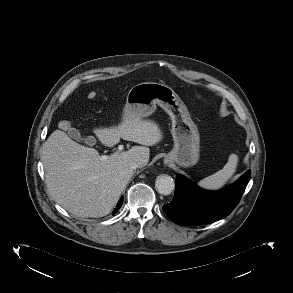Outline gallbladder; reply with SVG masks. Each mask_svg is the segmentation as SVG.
Returning a JSON list of instances; mask_svg holds the SVG:
<instances>
[{"mask_svg":"<svg viewBox=\"0 0 293 293\" xmlns=\"http://www.w3.org/2000/svg\"><path fill=\"white\" fill-rule=\"evenodd\" d=\"M69 136L73 138L76 141H84L86 144L90 145L95 141V138L92 136H89L87 138H82L81 134L79 133L78 130L76 129H70L68 132Z\"/></svg>","mask_w":293,"mask_h":293,"instance_id":"bac80fb5","label":"gallbladder"}]
</instances>
